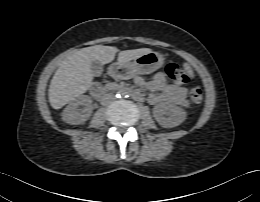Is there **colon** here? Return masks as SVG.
<instances>
[{"label": "colon", "mask_w": 260, "mask_h": 202, "mask_svg": "<svg viewBox=\"0 0 260 202\" xmlns=\"http://www.w3.org/2000/svg\"><path fill=\"white\" fill-rule=\"evenodd\" d=\"M165 73L170 81L175 84H185L189 81V76L174 63H170L166 66ZM190 98L192 102L198 104L203 99V92L199 88H194L190 92Z\"/></svg>", "instance_id": "1"}]
</instances>
